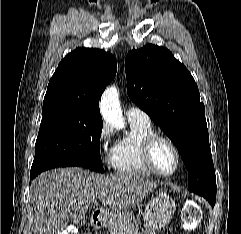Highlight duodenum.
<instances>
[{
    "label": "duodenum",
    "mask_w": 241,
    "mask_h": 234,
    "mask_svg": "<svg viewBox=\"0 0 241 234\" xmlns=\"http://www.w3.org/2000/svg\"><path fill=\"white\" fill-rule=\"evenodd\" d=\"M103 223V214L100 211H96L92 214L90 219V225L93 228H99L101 227Z\"/></svg>",
    "instance_id": "duodenum-1"
}]
</instances>
